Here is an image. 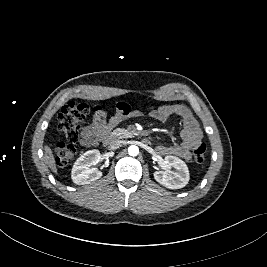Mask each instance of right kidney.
Here are the masks:
<instances>
[{
	"mask_svg": "<svg viewBox=\"0 0 267 267\" xmlns=\"http://www.w3.org/2000/svg\"><path fill=\"white\" fill-rule=\"evenodd\" d=\"M100 158L99 150H89L82 154L73 165L72 181L77 185H85L99 179L102 172L91 166L98 163Z\"/></svg>",
	"mask_w": 267,
	"mask_h": 267,
	"instance_id": "1",
	"label": "right kidney"
}]
</instances>
